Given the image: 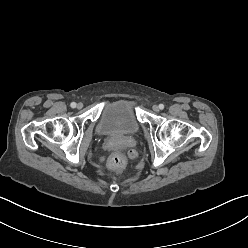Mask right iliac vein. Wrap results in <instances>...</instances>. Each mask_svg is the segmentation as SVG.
I'll list each match as a JSON object with an SVG mask.
<instances>
[{
    "mask_svg": "<svg viewBox=\"0 0 248 248\" xmlns=\"http://www.w3.org/2000/svg\"><path fill=\"white\" fill-rule=\"evenodd\" d=\"M82 107H83V104H82V103H78V104H77V108H78V109H81Z\"/></svg>",
    "mask_w": 248,
    "mask_h": 248,
    "instance_id": "1",
    "label": "right iliac vein"
}]
</instances>
